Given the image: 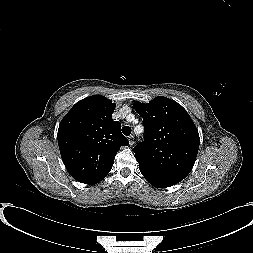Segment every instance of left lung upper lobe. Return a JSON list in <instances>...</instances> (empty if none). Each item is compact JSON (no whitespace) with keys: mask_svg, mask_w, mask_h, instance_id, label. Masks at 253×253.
<instances>
[{"mask_svg":"<svg viewBox=\"0 0 253 253\" xmlns=\"http://www.w3.org/2000/svg\"><path fill=\"white\" fill-rule=\"evenodd\" d=\"M133 105L145 128L144 141L134 148L140 172L170 186L179 183L190 173L198 153L195 124L180 104L166 97Z\"/></svg>","mask_w":253,"mask_h":253,"instance_id":"1","label":"left lung upper lobe"}]
</instances>
